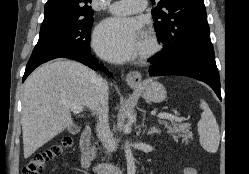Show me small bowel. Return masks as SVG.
Returning a JSON list of instances; mask_svg holds the SVG:
<instances>
[{
    "label": "small bowel",
    "instance_id": "1",
    "mask_svg": "<svg viewBox=\"0 0 249 174\" xmlns=\"http://www.w3.org/2000/svg\"><path fill=\"white\" fill-rule=\"evenodd\" d=\"M183 174H197V171L193 167H185Z\"/></svg>",
    "mask_w": 249,
    "mask_h": 174
}]
</instances>
